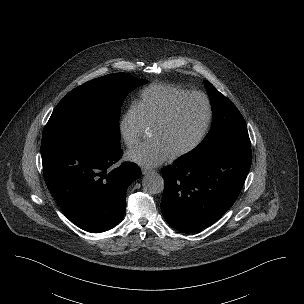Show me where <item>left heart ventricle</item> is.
<instances>
[{"instance_id":"b2bd125f","label":"left heart ventricle","mask_w":304,"mask_h":304,"mask_svg":"<svg viewBox=\"0 0 304 304\" xmlns=\"http://www.w3.org/2000/svg\"><path fill=\"white\" fill-rule=\"evenodd\" d=\"M206 118V105L200 98L183 102L165 125L152 131V139L161 141L172 154L190 145L199 135Z\"/></svg>"}]
</instances>
